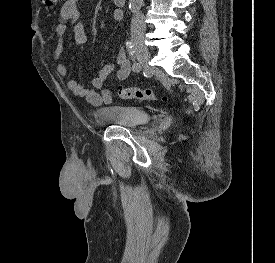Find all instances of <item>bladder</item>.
<instances>
[{"instance_id":"31cf9c89","label":"bladder","mask_w":275,"mask_h":263,"mask_svg":"<svg viewBox=\"0 0 275 263\" xmlns=\"http://www.w3.org/2000/svg\"><path fill=\"white\" fill-rule=\"evenodd\" d=\"M98 124L137 126L151 120V114L139 107L121 105H103L93 111Z\"/></svg>"}]
</instances>
